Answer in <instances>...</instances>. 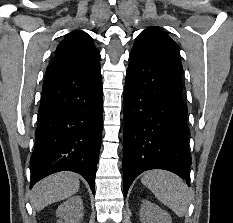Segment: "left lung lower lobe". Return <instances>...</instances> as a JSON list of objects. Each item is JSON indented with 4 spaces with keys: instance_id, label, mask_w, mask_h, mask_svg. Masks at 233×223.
<instances>
[{
    "instance_id": "obj_1",
    "label": "left lung lower lobe",
    "mask_w": 233,
    "mask_h": 223,
    "mask_svg": "<svg viewBox=\"0 0 233 223\" xmlns=\"http://www.w3.org/2000/svg\"><path fill=\"white\" fill-rule=\"evenodd\" d=\"M183 69L143 44L129 56L124 89V194L143 171L164 169L190 186L187 106L182 99Z\"/></svg>"
}]
</instances>
